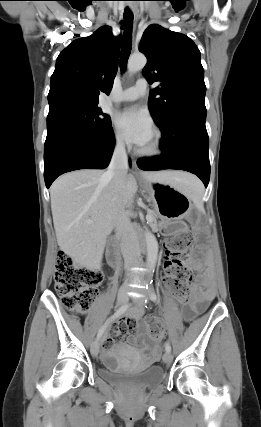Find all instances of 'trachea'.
I'll return each mask as SVG.
<instances>
[{"instance_id": "3493384b", "label": "trachea", "mask_w": 261, "mask_h": 427, "mask_svg": "<svg viewBox=\"0 0 261 427\" xmlns=\"http://www.w3.org/2000/svg\"><path fill=\"white\" fill-rule=\"evenodd\" d=\"M124 21H125V29H124V35H123V41H122V50L120 55V68L122 71H124L127 67V61L129 59L131 48H132V20H133V14L132 12L127 8H125L124 14Z\"/></svg>"}]
</instances>
